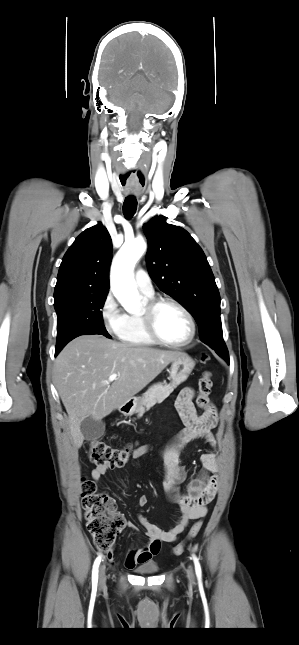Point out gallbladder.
Segmentation results:
<instances>
[{"instance_id": "obj_1", "label": "gallbladder", "mask_w": 299, "mask_h": 645, "mask_svg": "<svg viewBox=\"0 0 299 645\" xmlns=\"http://www.w3.org/2000/svg\"><path fill=\"white\" fill-rule=\"evenodd\" d=\"M80 429L85 440H96L104 435L105 423L102 420L87 417L81 422Z\"/></svg>"}]
</instances>
